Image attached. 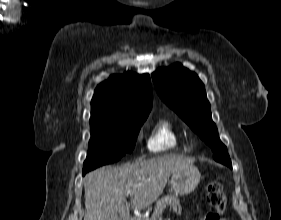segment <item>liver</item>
<instances>
[{
    "label": "liver",
    "instance_id": "6515ba94",
    "mask_svg": "<svg viewBox=\"0 0 281 220\" xmlns=\"http://www.w3.org/2000/svg\"><path fill=\"white\" fill-rule=\"evenodd\" d=\"M194 160L165 155L120 167L104 166L84 178V220H130V207L143 210L163 193L170 175ZM130 190V202L126 192Z\"/></svg>",
    "mask_w": 281,
    "mask_h": 220
}]
</instances>
